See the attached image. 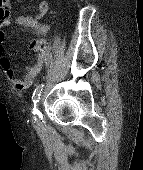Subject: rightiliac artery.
Returning <instances> with one entry per match:
<instances>
[{
	"label": "right iliac artery",
	"instance_id": "82829eb1",
	"mask_svg": "<svg viewBox=\"0 0 143 170\" xmlns=\"http://www.w3.org/2000/svg\"><path fill=\"white\" fill-rule=\"evenodd\" d=\"M44 85L43 84H40L36 87V89L34 90V93H33V96H32V101L34 103V108H33V111L32 113L33 114H38V110L36 109V103L39 101L40 99V95H41V92H42V89H43Z\"/></svg>",
	"mask_w": 143,
	"mask_h": 170
}]
</instances>
